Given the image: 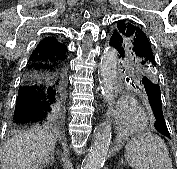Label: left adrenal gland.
Instances as JSON below:
<instances>
[{
  "mask_svg": "<svg viewBox=\"0 0 177 169\" xmlns=\"http://www.w3.org/2000/svg\"><path fill=\"white\" fill-rule=\"evenodd\" d=\"M124 164H125L124 160H121L120 165H124Z\"/></svg>",
  "mask_w": 177,
  "mask_h": 169,
  "instance_id": "1",
  "label": "left adrenal gland"
}]
</instances>
